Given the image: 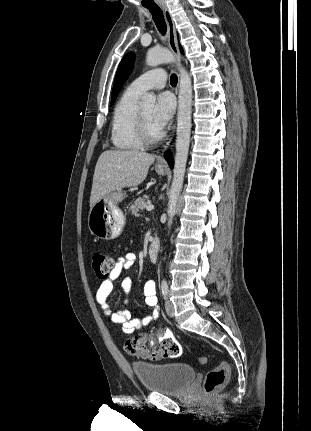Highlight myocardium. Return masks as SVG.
I'll return each instance as SVG.
<instances>
[{
  "label": "myocardium",
  "instance_id": "f54148a6",
  "mask_svg": "<svg viewBox=\"0 0 311 431\" xmlns=\"http://www.w3.org/2000/svg\"><path fill=\"white\" fill-rule=\"evenodd\" d=\"M136 130L139 140L145 145H152L158 143L164 136L161 132L158 136L154 137L148 127L147 121L141 110L137 113Z\"/></svg>",
  "mask_w": 311,
  "mask_h": 431
}]
</instances>
